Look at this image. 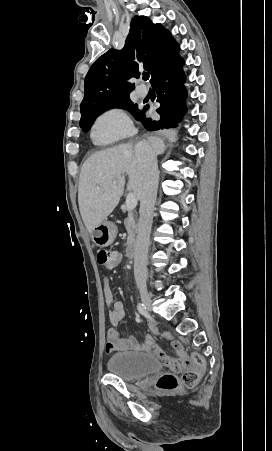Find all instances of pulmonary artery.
I'll return each mask as SVG.
<instances>
[{"mask_svg":"<svg viewBox=\"0 0 272 451\" xmlns=\"http://www.w3.org/2000/svg\"><path fill=\"white\" fill-rule=\"evenodd\" d=\"M147 93H148L147 90L137 89V95L140 98H145L147 96Z\"/></svg>","mask_w":272,"mask_h":451,"instance_id":"1","label":"pulmonary artery"}]
</instances>
